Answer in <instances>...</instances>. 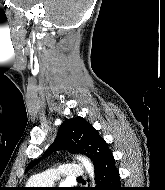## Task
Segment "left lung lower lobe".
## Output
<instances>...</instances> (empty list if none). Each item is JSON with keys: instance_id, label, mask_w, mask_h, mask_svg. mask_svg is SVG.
Masks as SVG:
<instances>
[{"instance_id": "left-lung-lower-lobe-1", "label": "left lung lower lobe", "mask_w": 165, "mask_h": 190, "mask_svg": "<svg viewBox=\"0 0 165 190\" xmlns=\"http://www.w3.org/2000/svg\"><path fill=\"white\" fill-rule=\"evenodd\" d=\"M98 187L95 190H121L119 171L115 167V160L109 154L94 165Z\"/></svg>"}]
</instances>
